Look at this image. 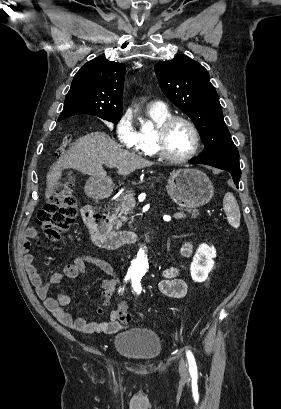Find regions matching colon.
<instances>
[{"label": "colon", "mask_w": 281, "mask_h": 409, "mask_svg": "<svg viewBox=\"0 0 281 409\" xmlns=\"http://www.w3.org/2000/svg\"><path fill=\"white\" fill-rule=\"evenodd\" d=\"M73 146V137L68 135L59 152V157H66ZM73 188L74 180L72 178L57 182L46 207L38 212L36 223L50 238H61L60 235L68 231L74 223L76 199L71 194ZM117 317L121 321H129V308L120 306Z\"/></svg>", "instance_id": "5ec220e1"}]
</instances>
